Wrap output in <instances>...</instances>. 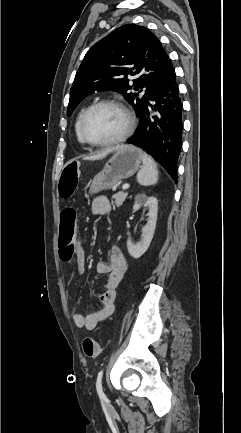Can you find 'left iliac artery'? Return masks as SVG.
<instances>
[{
	"label": "left iliac artery",
	"instance_id": "obj_1",
	"mask_svg": "<svg viewBox=\"0 0 241 433\" xmlns=\"http://www.w3.org/2000/svg\"><path fill=\"white\" fill-rule=\"evenodd\" d=\"M102 377H103V370H101L98 373L97 381H96V389H97V393H98L99 397L105 399L106 396H105L103 389H102Z\"/></svg>",
	"mask_w": 241,
	"mask_h": 433
}]
</instances>
